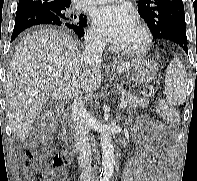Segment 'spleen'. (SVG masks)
Listing matches in <instances>:
<instances>
[{
    "label": "spleen",
    "mask_w": 197,
    "mask_h": 181,
    "mask_svg": "<svg viewBox=\"0 0 197 181\" xmlns=\"http://www.w3.org/2000/svg\"><path fill=\"white\" fill-rule=\"evenodd\" d=\"M187 74L182 61L174 57L166 69L165 94L167 101L175 106L186 100Z\"/></svg>",
    "instance_id": "3e777b00"
}]
</instances>
